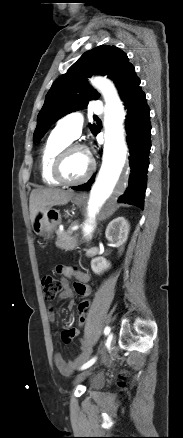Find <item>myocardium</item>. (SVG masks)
<instances>
[{
  "mask_svg": "<svg viewBox=\"0 0 183 438\" xmlns=\"http://www.w3.org/2000/svg\"><path fill=\"white\" fill-rule=\"evenodd\" d=\"M76 150H82V151H84L87 154L88 159H89V167H88V170H87L86 174L82 178H80L78 180H75V181H69V180H66L63 177L62 168H63V164H64L66 158L69 156V154L72 153L73 151H76ZM94 170H95V161L92 158V156L90 155L88 149L84 145H82V144L73 143V144H69L66 147H64L57 154V156H56V158L54 160L52 169H51V174H52V177L60 185H64V186H77V185H81V184L87 182L91 178Z\"/></svg>",
  "mask_w": 183,
  "mask_h": 438,
  "instance_id": "obj_1",
  "label": "myocardium"
}]
</instances>
